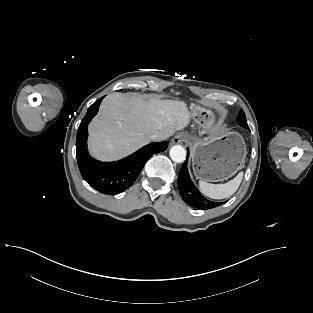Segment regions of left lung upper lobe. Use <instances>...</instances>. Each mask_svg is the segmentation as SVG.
I'll list each match as a JSON object with an SVG mask.
<instances>
[{
    "label": "left lung upper lobe",
    "instance_id": "1",
    "mask_svg": "<svg viewBox=\"0 0 313 313\" xmlns=\"http://www.w3.org/2000/svg\"><path fill=\"white\" fill-rule=\"evenodd\" d=\"M237 123H239L240 126L249 130V126L247 125L245 113L243 110L239 111V114L237 116Z\"/></svg>",
    "mask_w": 313,
    "mask_h": 313
}]
</instances>
